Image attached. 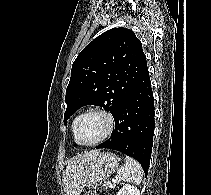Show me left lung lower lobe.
<instances>
[{"label":"left lung lower lobe","mask_w":211,"mask_h":195,"mask_svg":"<svg viewBox=\"0 0 211 195\" xmlns=\"http://www.w3.org/2000/svg\"><path fill=\"white\" fill-rule=\"evenodd\" d=\"M154 98L148 70L114 115L111 137L97 146L135 158L148 173L154 135Z\"/></svg>","instance_id":"1"}]
</instances>
